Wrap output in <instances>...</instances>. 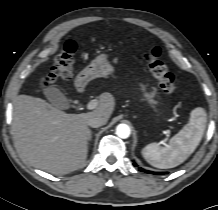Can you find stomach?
Instances as JSON below:
<instances>
[{
	"mask_svg": "<svg viewBox=\"0 0 218 210\" xmlns=\"http://www.w3.org/2000/svg\"><path fill=\"white\" fill-rule=\"evenodd\" d=\"M114 71L113 66L108 60L107 54H101L97 56L89 66H87L83 71H81L76 79L75 86L81 89L90 80L97 77H105ZM152 96V95H151Z\"/></svg>",
	"mask_w": 218,
	"mask_h": 210,
	"instance_id": "stomach-1",
	"label": "stomach"
}]
</instances>
